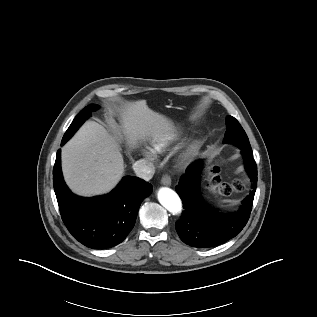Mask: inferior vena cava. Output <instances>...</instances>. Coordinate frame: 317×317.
Here are the masks:
<instances>
[{"label": "inferior vena cava", "instance_id": "1", "mask_svg": "<svg viewBox=\"0 0 317 317\" xmlns=\"http://www.w3.org/2000/svg\"><path fill=\"white\" fill-rule=\"evenodd\" d=\"M133 170L136 176L146 181L152 179L155 173V167L152 162L140 159L133 164Z\"/></svg>", "mask_w": 317, "mask_h": 317}]
</instances>
